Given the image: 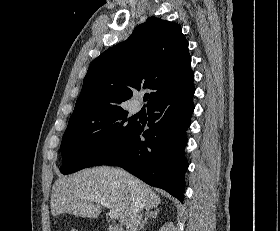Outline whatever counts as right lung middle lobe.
I'll use <instances>...</instances> for the list:
<instances>
[{"instance_id": "obj_1", "label": "right lung middle lobe", "mask_w": 280, "mask_h": 231, "mask_svg": "<svg viewBox=\"0 0 280 231\" xmlns=\"http://www.w3.org/2000/svg\"><path fill=\"white\" fill-rule=\"evenodd\" d=\"M127 114L124 110L101 118L69 121L60 148L61 173L102 165L114 155L136 125L127 123Z\"/></svg>"}]
</instances>
